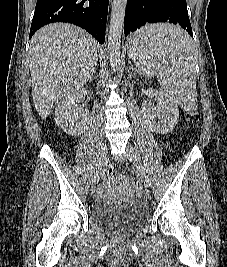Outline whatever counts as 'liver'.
<instances>
[{"label":"liver","instance_id":"1","mask_svg":"<svg viewBox=\"0 0 227 267\" xmlns=\"http://www.w3.org/2000/svg\"><path fill=\"white\" fill-rule=\"evenodd\" d=\"M96 60L97 41L74 25L52 23L33 35L28 62L33 102L42 119L86 84Z\"/></svg>","mask_w":227,"mask_h":267}]
</instances>
